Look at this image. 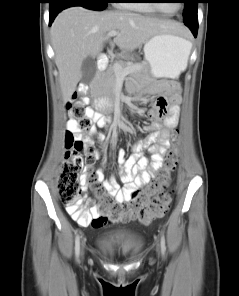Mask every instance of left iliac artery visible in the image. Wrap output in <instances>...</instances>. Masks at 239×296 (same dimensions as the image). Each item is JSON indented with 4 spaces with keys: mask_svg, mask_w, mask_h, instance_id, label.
Listing matches in <instances>:
<instances>
[{
    "mask_svg": "<svg viewBox=\"0 0 239 296\" xmlns=\"http://www.w3.org/2000/svg\"><path fill=\"white\" fill-rule=\"evenodd\" d=\"M165 251H166L165 236H164V233L162 232V234H161V252H162L163 257L165 256Z\"/></svg>",
    "mask_w": 239,
    "mask_h": 296,
    "instance_id": "left-iliac-artery-1",
    "label": "left iliac artery"
}]
</instances>
